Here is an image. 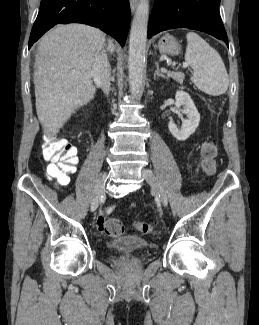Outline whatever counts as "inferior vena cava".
<instances>
[{
	"mask_svg": "<svg viewBox=\"0 0 259 325\" xmlns=\"http://www.w3.org/2000/svg\"><path fill=\"white\" fill-rule=\"evenodd\" d=\"M91 74L94 82L102 88L103 92L108 95L110 92L111 68L105 50L98 53L95 57Z\"/></svg>",
	"mask_w": 259,
	"mask_h": 325,
	"instance_id": "602c4592",
	"label": "inferior vena cava"
}]
</instances>
